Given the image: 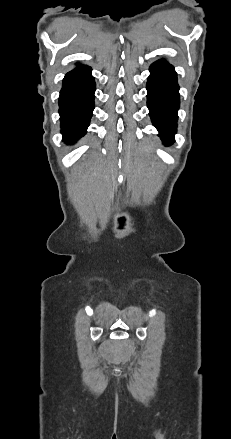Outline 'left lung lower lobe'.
<instances>
[{
	"label": "left lung lower lobe",
	"instance_id": "obj_1",
	"mask_svg": "<svg viewBox=\"0 0 231 439\" xmlns=\"http://www.w3.org/2000/svg\"><path fill=\"white\" fill-rule=\"evenodd\" d=\"M147 106L153 125L167 146L174 143L179 109V86L174 67L165 60L150 66L147 81Z\"/></svg>",
	"mask_w": 231,
	"mask_h": 439
}]
</instances>
